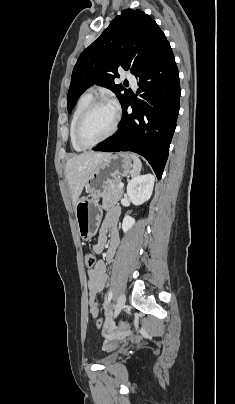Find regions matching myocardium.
<instances>
[{"mask_svg": "<svg viewBox=\"0 0 235 404\" xmlns=\"http://www.w3.org/2000/svg\"><path fill=\"white\" fill-rule=\"evenodd\" d=\"M101 105H109L114 108L115 116H114L112 127L109 130V132L106 135H104L101 139H99L93 143H87L83 140L82 135H81L83 124H84L86 118L88 117V115L96 107L101 106ZM119 120H120V113H119V110L117 107H114L113 104L110 103L109 101H107L106 99H102V98L94 99L82 111V113L80 114V116L77 120L76 128H75V139H76L77 143L80 146L84 147L85 149L95 147L96 145L108 140L110 137H112L114 135V133L116 132V130L118 128Z\"/></svg>", "mask_w": 235, "mask_h": 404, "instance_id": "f54148a6", "label": "myocardium"}]
</instances>
